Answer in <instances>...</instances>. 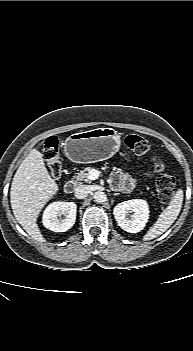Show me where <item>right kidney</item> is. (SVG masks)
I'll use <instances>...</instances> for the list:
<instances>
[{
    "label": "right kidney",
    "instance_id": "ca27d5eb",
    "mask_svg": "<svg viewBox=\"0 0 193 351\" xmlns=\"http://www.w3.org/2000/svg\"><path fill=\"white\" fill-rule=\"evenodd\" d=\"M76 212L77 205L74 202H53L44 210L43 225L54 232H65L75 224Z\"/></svg>",
    "mask_w": 193,
    "mask_h": 351
}]
</instances>
